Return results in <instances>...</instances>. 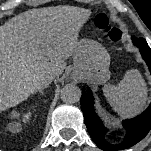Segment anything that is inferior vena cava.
Wrapping results in <instances>:
<instances>
[{"label": "inferior vena cava", "instance_id": "obj_1", "mask_svg": "<svg viewBox=\"0 0 151 151\" xmlns=\"http://www.w3.org/2000/svg\"><path fill=\"white\" fill-rule=\"evenodd\" d=\"M53 73H54V74H57V71H53ZM46 86H47V85H46ZM46 86H45V87H46Z\"/></svg>", "mask_w": 151, "mask_h": 151}]
</instances>
